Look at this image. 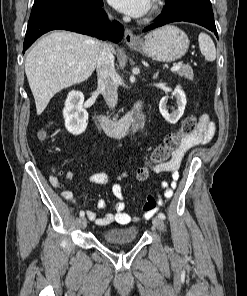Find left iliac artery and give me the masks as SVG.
I'll list each match as a JSON object with an SVG mask.
<instances>
[{"label":"left iliac artery","instance_id":"left-iliac-artery-1","mask_svg":"<svg viewBox=\"0 0 247 296\" xmlns=\"http://www.w3.org/2000/svg\"><path fill=\"white\" fill-rule=\"evenodd\" d=\"M158 217L161 218V219H165V218H166L165 215H164L163 213H159V214H158Z\"/></svg>","mask_w":247,"mask_h":296}]
</instances>
